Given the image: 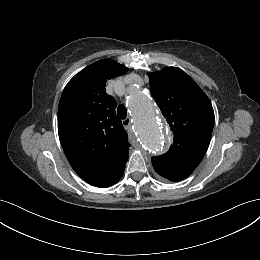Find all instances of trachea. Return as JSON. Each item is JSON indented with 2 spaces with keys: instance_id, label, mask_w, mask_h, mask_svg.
Segmentation results:
<instances>
[{
  "instance_id": "obj_1",
  "label": "trachea",
  "mask_w": 260,
  "mask_h": 260,
  "mask_svg": "<svg viewBox=\"0 0 260 260\" xmlns=\"http://www.w3.org/2000/svg\"><path fill=\"white\" fill-rule=\"evenodd\" d=\"M117 115L121 119H125L127 116V109L124 105H119L117 108Z\"/></svg>"
}]
</instances>
